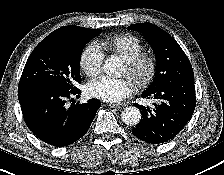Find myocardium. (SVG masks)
<instances>
[{"mask_svg": "<svg viewBox=\"0 0 224 175\" xmlns=\"http://www.w3.org/2000/svg\"><path fill=\"white\" fill-rule=\"evenodd\" d=\"M128 76L139 86L149 85L157 71V60L153 55L140 54L135 59L126 62Z\"/></svg>", "mask_w": 224, "mask_h": 175, "instance_id": "obj_1", "label": "myocardium"}]
</instances>
